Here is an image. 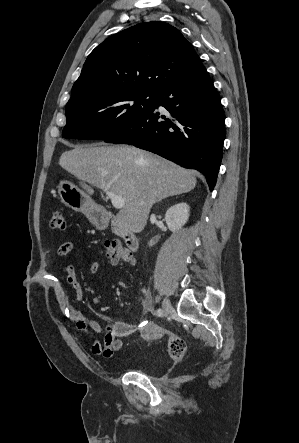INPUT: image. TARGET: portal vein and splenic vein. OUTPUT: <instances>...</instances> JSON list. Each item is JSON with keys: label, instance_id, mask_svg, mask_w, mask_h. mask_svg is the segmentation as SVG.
Listing matches in <instances>:
<instances>
[{"label": "portal vein and splenic vein", "instance_id": "obj_1", "mask_svg": "<svg viewBox=\"0 0 299 443\" xmlns=\"http://www.w3.org/2000/svg\"><path fill=\"white\" fill-rule=\"evenodd\" d=\"M103 191L105 192V194L107 195L108 198H110L111 203L113 205L114 208L116 209H122L125 205V200L121 197L118 196L114 193H112L111 191H109L108 189H103Z\"/></svg>", "mask_w": 299, "mask_h": 443}]
</instances>
